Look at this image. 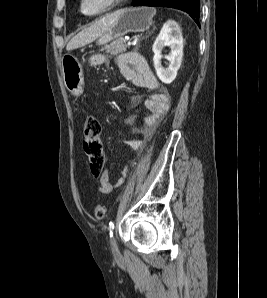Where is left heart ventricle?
<instances>
[{"label": "left heart ventricle", "mask_w": 267, "mask_h": 298, "mask_svg": "<svg viewBox=\"0 0 267 298\" xmlns=\"http://www.w3.org/2000/svg\"><path fill=\"white\" fill-rule=\"evenodd\" d=\"M108 0H85L84 10L87 13H95L100 11L106 4Z\"/></svg>", "instance_id": "b2bd125f"}]
</instances>
